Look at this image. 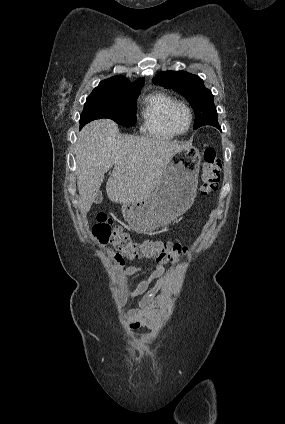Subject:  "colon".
Wrapping results in <instances>:
<instances>
[{
  "label": "colon",
  "instance_id": "obj_1",
  "mask_svg": "<svg viewBox=\"0 0 285 424\" xmlns=\"http://www.w3.org/2000/svg\"><path fill=\"white\" fill-rule=\"evenodd\" d=\"M221 160L213 148L203 151L200 193L209 195L218 190ZM92 234L104 245H112L117 253L114 260L122 265L125 259H154L158 263H174L187 253L179 243L162 240L134 241L122 227L112 224L106 216H99L92 227Z\"/></svg>",
  "mask_w": 285,
  "mask_h": 424
}]
</instances>
